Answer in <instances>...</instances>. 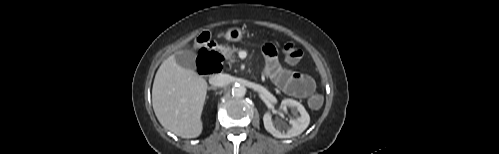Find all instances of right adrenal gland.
Instances as JSON below:
<instances>
[{"label": "right adrenal gland", "mask_w": 499, "mask_h": 154, "mask_svg": "<svg viewBox=\"0 0 499 154\" xmlns=\"http://www.w3.org/2000/svg\"><path fill=\"white\" fill-rule=\"evenodd\" d=\"M216 87H208V90H216Z\"/></svg>", "instance_id": "right-adrenal-gland-1"}]
</instances>
